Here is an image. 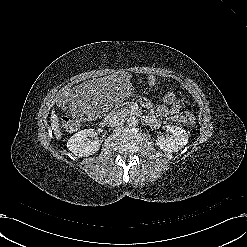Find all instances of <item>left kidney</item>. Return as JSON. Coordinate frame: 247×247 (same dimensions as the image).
<instances>
[{
  "label": "left kidney",
  "mask_w": 247,
  "mask_h": 247,
  "mask_svg": "<svg viewBox=\"0 0 247 247\" xmlns=\"http://www.w3.org/2000/svg\"><path fill=\"white\" fill-rule=\"evenodd\" d=\"M164 128L170 135L166 137L158 135L156 145L159 146L161 150L169 153L178 152L187 144L189 137L184 129L171 125H167Z\"/></svg>",
  "instance_id": "5707ae66"
}]
</instances>
